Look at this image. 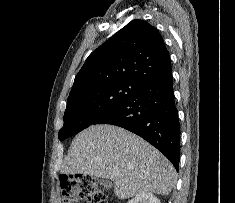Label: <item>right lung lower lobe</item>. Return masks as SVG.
I'll return each instance as SVG.
<instances>
[{
	"mask_svg": "<svg viewBox=\"0 0 235 203\" xmlns=\"http://www.w3.org/2000/svg\"><path fill=\"white\" fill-rule=\"evenodd\" d=\"M94 124L125 128L148 141L179 170L180 124L171 69L145 81L123 103Z\"/></svg>",
	"mask_w": 235,
	"mask_h": 203,
	"instance_id": "obj_1",
	"label": "right lung lower lobe"
}]
</instances>
